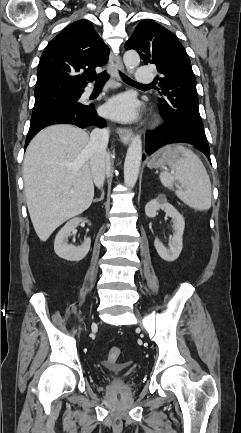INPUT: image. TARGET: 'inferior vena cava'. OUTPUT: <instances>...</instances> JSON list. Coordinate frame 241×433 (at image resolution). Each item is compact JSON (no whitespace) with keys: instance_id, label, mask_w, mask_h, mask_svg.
I'll return each instance as SVG.
<instances>
[{"instance_id":"602c4592","label":"inferior vena cava","mask_w":241,"mask_h":433,"mask_svg":"<svg viewBox=\"0 0 241 433\" xmlns=\"http://www.w3.org/2000/svg\"><path fill=\"white\" fill-rule=\"evenodd\" d=\"M110 131L108 128L94 129L90 134L86 146L90 154V165L95 185L100 188L105 180L106 148L109 141Z\"/></svg>"}]
</instances>
